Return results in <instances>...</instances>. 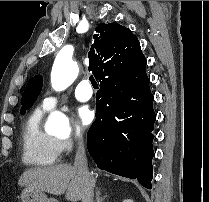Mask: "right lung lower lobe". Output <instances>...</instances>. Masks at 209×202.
Masks as SVG:
<instances>
[{
    "mask_svg": "<svg viewBox=\"0 0 209 202\" xmlns=\"http://www.w3.org/2000/svg\"><path fill=\"white\" fill-rule=\"evenodd\" d=\"M96 101V120L87 133L89 154L98 168L151 189L156 115L146 72L126 87H100Z\"/></svg>",
    "mask_w": 209,
    "mask_h": 202,
    "instance_id": "1",
    "label": "right lung lower lobe"
}]
</instances>
